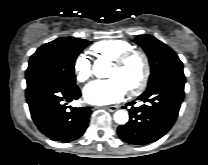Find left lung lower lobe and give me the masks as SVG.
<instances>
[{
    "instance_id": "0a47b994",
    "label": "left lung lower lobe",
    "mask_w": 208,
    "mask_h": 165,
    "mask_svg": "<svg viewBox=\"0 0 208 165\" xmlns=\"http://www.w3.org/2000/svg\"><path fill=\"white\" fill-rule=\"evenodd\" d=\"M184 84L185 76L162 79L137 98L143 105L134 107L135 101L128 103L130 120L118 127L119 137L135 145H145L163 137L177 119L184 98Z\"/></svg>"
}]
</instances>
